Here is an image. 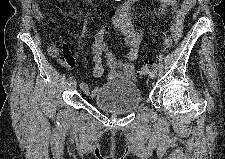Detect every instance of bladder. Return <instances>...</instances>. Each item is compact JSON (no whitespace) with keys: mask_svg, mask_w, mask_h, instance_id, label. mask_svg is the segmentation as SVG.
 <instances>
[{"mask_svg":"<svg viewBox=\"0 0 225 159\" xmlns=\"http://www.w3.org/2000/svg\"><path fill=\"white\" fill-rule=\"evenodd\" d=\"M141 103V90L130 80L108 82L99 87L93 96L96 107L116 115L129 113Z\"/></svg>","mask_w":225,"mask_h":159,"instance_id":"1","label":"bladder"}]
</instances>
